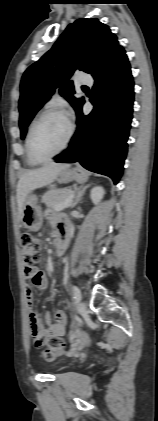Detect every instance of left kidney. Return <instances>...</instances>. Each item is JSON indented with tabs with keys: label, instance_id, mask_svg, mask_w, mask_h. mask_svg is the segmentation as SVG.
Wrapping results in <instances>:
<instances>
[{
	"label": "left kidney",
	"instance_id": "5707ae66",
	"mask_svg": "<svg viewBox=\"0 0 158 421\" xmlns=\"http://www.w3.org/2000/svg\"><path fill=\"white\" fill-rule=\"evenodd\" d=\"M105 194L104 189L101 186L94 187L90 192L91 200L94 204H98Z\"/></svg>",
	"mask_w": 158,
	"mask_h": 421
}]
</instances>
